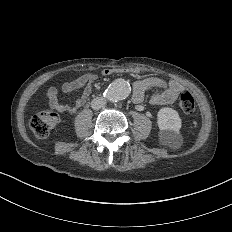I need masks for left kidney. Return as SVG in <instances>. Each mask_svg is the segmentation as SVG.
Here are the masks:
<instances>
[{
	"label": "left kidney",
	"mask_w": 232,
	"mask_h": 232,
	"mask_svg": "<svg viewBox=\"0 0 232 232\" xmlns=\"http://www.w3.org/2000/svg\"><path fill=\"white\" fill-rule=\"evenodd\" d=\"M157 123L161 130V135L164 133H174L179 135L181 128V119L177 111L172 108H162L157 114Z\"/></svg>",
	"instance_id": "1"
}]
</instances>
